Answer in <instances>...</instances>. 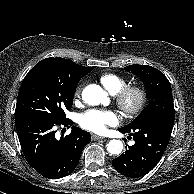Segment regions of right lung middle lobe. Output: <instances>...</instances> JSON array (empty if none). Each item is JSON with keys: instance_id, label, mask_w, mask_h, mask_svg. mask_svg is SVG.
I'll return each instance as SVG.
<instances>
[{"instance_id": "1", "label": "right lung middle lobe", "mask_w": 194, "mask_h": 194, "mask_svg": "<svg viewBox=\"0 0 194 194\" xmlns=\"http://www.w3.org/2000/svg\"><path fill=\"white\" fill-rule=\"evenodd\" d=\"M81 77L70 74L55 58L38 62L25 76L17 97L15 119L41 115L55 121L66 119Z\"/></svg>"}]
</instances>
